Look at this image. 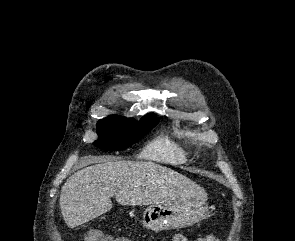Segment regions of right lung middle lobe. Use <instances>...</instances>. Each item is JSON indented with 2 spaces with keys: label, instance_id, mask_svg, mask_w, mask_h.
Segmentation results:
<instances>
[{
  "label": "right lung middle lobe",
  "instance_id": "1",
  "mask_svg": "<svg viewBox=\"0 0 295 241\" xmlns=\"http://www.w3.org/2000/svg\"><path fill=\"white\" fill-rule=\"evenodd\" d=\"M158 124L156 117L146 115L140 122L112 115L97 123L99 139L93 144L103 150L116 151L130 147Z\"/></svg>",
  "mask_w": 295,
  "mask_h": 241
}]
</instances>
